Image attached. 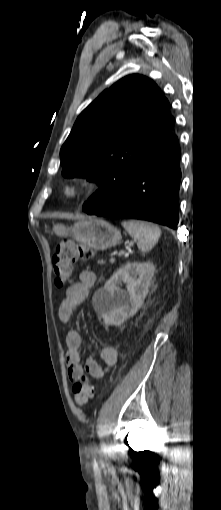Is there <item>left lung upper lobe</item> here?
Instances as JSON below:
<instances>
[{
	"label": "left lung upper lobe",
	"mask_w": 221,
	"mask_h": 510,
	"mask_svg": "<svg viewBox=\"0 0 221 510\" xmlns=\"http://www.w3.org/2000/svg\"><path fill=\"white\" fill-rule=\"evenodd\" d=\"M169 102L158 86L129 75L103 91L78 116L60 151L65 177H87L99 189L87 202L110 203L155 151L174 142Z\"/></svg>",
	"instance_id": "obj_1"
}]
</instances>
